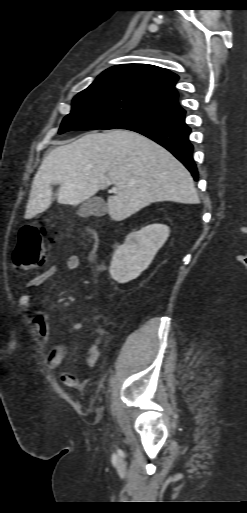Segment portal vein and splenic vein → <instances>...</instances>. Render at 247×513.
Instances as JSON below:
<instances>
[{
	"label": "portal vein and splenic vein",
	"instance_id": "obj_1",
	"mask_svg": "<svg viewBox=\"0 0 247 513\" xmlns=\"http://www.w3.org/2000/svg\"><path fill=\"white\" fill-rule=\"evenodd\" d=\"M109 184H110V183H109ZM112 191H113V192H116V191H117V188H116V187H113V188H112Z\"/></svg>",
	"mask_w": 247,
	"mask_h": 513
}]
</instances>
